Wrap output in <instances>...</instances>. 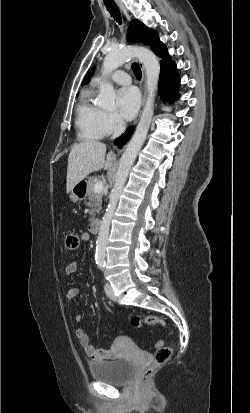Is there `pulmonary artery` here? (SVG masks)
Returning <instances> with one entry per match:
<instances>
[{"instance_id": "obj_1", "label": "pulmonary artery", "mask_w": 250, "mask_h": 413, "mask_svg": "<svg viewBox=\"0 0 250 413\" xmlns=\"http://www.w3.org/2000/svg\"><path fill=\"white\" fill-rule=\"evenodd\" d=\"M110 80L121 85H129L131 83V78L129 74L122 70H117L110 75ZM104 80L103 77H97L95 79L96 83H100Z\"/></svg>"}]
</instances>
